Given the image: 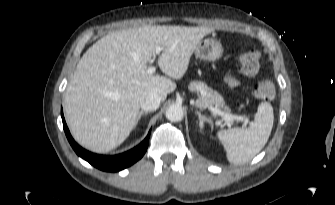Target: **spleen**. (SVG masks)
<instances>
[{"mask_svg": "<svg viewBox=\"0 0 335 205\" xmlns=\"http://www.w3.org/2000/svg\"><path fill=\"white\" fill-rule=\"evenodd\" d=\"M273 122L274 113L271 104L262 102L249 128L218 131L217 136L226 150L228 161L239 165L254 158L266 145Z\"/></svg>", "mask_w": 335, "mask_h": 205, "instance_id": "1", "label": "spleen"}]
</instances>
